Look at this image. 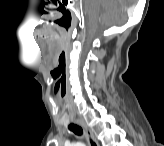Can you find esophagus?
<instances>
[{
  "label": "esophagus",
  "mask_w": 164,
  "mask_h": 146,
  "mask_svg": "<svg viewBox=\"0 0 164 146\" xmlns=\"http://www.w3.org/2000/svg\"><path fill=\"white\" fill-rule=\"evenodd\" d=\"M75 122L83 129L85 138L87 140V143L89 146H99L98 141L96 140L93 132L91 129L87 126L84 120L82 119H76Z\"/></svg>",
  "instance_id": "1"
}]
</instances>
